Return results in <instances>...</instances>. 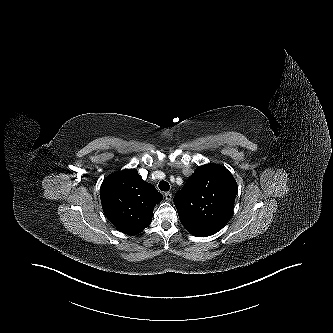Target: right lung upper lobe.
Here are the masks:
<instances>
[{
	"label": "right lung upper lobe",
	"mask_w": 333,
	"mask_h": 333,
	"mask_svg": "<svg viewBox=\"0 0 333 333\" xmlns=\"http://www.w3.org/2000/svg\"><path fill=\"white\" fill-rule=\"evenodd\" d=\"M105 216L120 232L135 235L148 227L163 196L136 169L109 175L100 188Z\"/></svg>",
	"instance_id": "right-lung-upper-lobe-1"
}]
</instances>
